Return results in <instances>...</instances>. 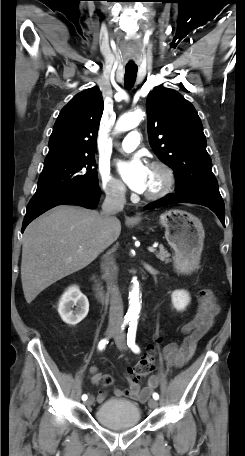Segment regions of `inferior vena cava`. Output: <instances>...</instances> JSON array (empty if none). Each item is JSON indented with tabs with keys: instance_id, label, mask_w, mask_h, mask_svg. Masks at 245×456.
Wrapping results in <instances>:
<instances>
[{
	"instance_id": "1",
	"label": "inferior vena cava",
	"mask_w": 245,
	"mask_h": 456,
	"mask_svg": "<svg viewBox=\"0 0 245 456\" xmlns=\"http://www.w3.org/2000/svg\"><path fill=\"white\" fill-rule=\"evenodd\" d=\"M126 203L125 188L113 187L106 191V198L102 204L101 216L106 224L115 220V214L122 211ZM107 270L110 275L107 279V289L111 294V303L109 310V326L120 328L123 322V302L116 284L117 266L113 258L106 255Z\"/></svg>"
}]
</instances>
